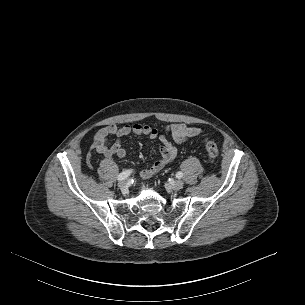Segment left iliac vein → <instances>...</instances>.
I'll return each instance as SVG.
<instances>
[{"label": "left iliac vein", "mask_w": 305, "mask_h": 305, "mask_svg": "<svg viewBox=\"0 0 305 305\" xmlns=\"http://www.w3.org/2000/svg\"><path fill=\"white\" fill-rule=\"evenodd\" d=\"M184 186V182L181 179L175 180L174 182L171 183V188L173 190H180Z\"/></svg>", "instance_id": "4c4485c4"}]
</instances>
